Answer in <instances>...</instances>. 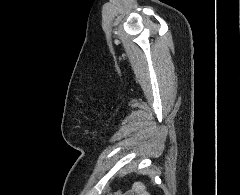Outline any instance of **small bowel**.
<instances>
[{"label": "small bowel", "instance_id": "c3829d8e", "mask_svg": "<svg viewBox=\"0 0 240 195\" xmlns=\"http://www.w3.org/2000/svg\"><path fill=\"white\" fill-rule=\"evenodd\" d=\"M148 195L147 192L144 191L143 186H133L132 190L122 192L120 195Z\"/></svg>", "mask_w": 240, "mask_h": 195}]
</instances>
